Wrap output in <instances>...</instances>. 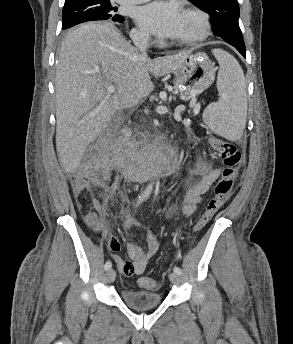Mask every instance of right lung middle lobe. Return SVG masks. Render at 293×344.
<instances>
[{"mask_svg": "<svg viewBox=\"0 0 293 344\" xmlns=\"http://www.w3.org/2000/svg\"><path fill=\"white\" fill-rule=\"evenodd\" d=\"M110 0H78L65 3L62 12V29L93 20H118L122 16L113 14Z\"/></svg>", "mask_w": 293, "mask_h": 344, "instance_id": "1", "label": "right lung middle lobe"}]
</instances>
